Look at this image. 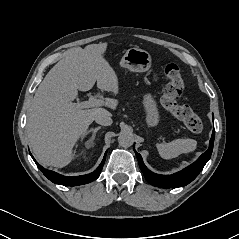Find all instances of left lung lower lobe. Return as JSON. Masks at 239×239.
<instances>
[{"label":"left lung lower lobe","instance_id":"obj_1","mask_svg":"<svg viewBox=\"0 0 239 239\" xmlns=\"http://www.w3.org/2000/svg\"><path fill=\"white\" fill-rule=\"evenodd\" d=\"M214 138H215V130L213 129L208 150L205 153H203L196 162L186 167L182 171L172 175H158L151 172L144 165L141 155L137 153L135 150L134 151L137 156L140 169L143 172L145 179L151 185L161 188H176L189 184L201 172V170L211 157Z\"/></svg>","mask_w":239,"mask_h":239}]
</instances>
